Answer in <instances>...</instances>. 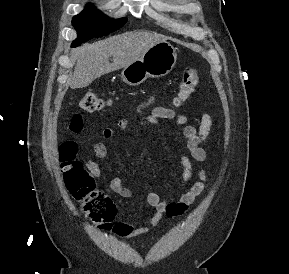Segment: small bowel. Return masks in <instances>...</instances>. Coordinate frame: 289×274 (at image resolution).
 Segmentation results:
<instances>
[{"label":"small bowel","instance_id":"small-bowel-1","mask_svg":"<svg viewBox=\"0 0 289 274\" xmlns=\"http://www.w3.org/2000/svg\"><path fill=\"white\" fill-rule=\"evenodd\" d=\"M150 98L143 107H148L153 102ZM171 120L178 126L182 127V135L186 139L187 154L183 153L180 156V162L183 167L182 180L179 188L169 195L172 198L175 194H180L177 200H162L158 193L150 192L146 197V204L154 210V213L149 218L148 222L139 227H135L131 223L119 222L113 231L116 235L126 238L138 237L146 234L150 229L158 225L164 215L169 217L180 216L184 214L188 208L193 204L195 199L200 196L205 190L206 172L204 169L199 171V181L194 183L187 191L182 192L192 177L191 159L204 163L207 159V153L203 148L204 143L209 137L212 128V116L209 113H204L201 117L198 127L187 124L188 119L184 114L176 113L174 110L162 106L153 107L150 113L143 116L138 122L137 126L144 127L149 124ZM119 130H126L128 128L127 120H120L117 123ZM114 134L113 129L105 128L102 136L105 139H110ZM94 155L98 158H106L108 149L103 143H96L92 147ZM88 171L96 178L101 175L100 167L97 162L89 160L86 162ZM111 190L123 198H129L133 192L128 188L120 178H114L110 182Z\"/></svg>","mask_w":289,"mask_h":274}]
</instances>
